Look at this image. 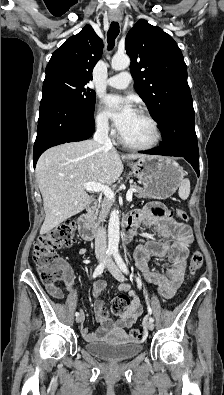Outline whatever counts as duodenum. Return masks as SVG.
<instances>
[{"mask_svg":"<svg viewBox=\"0 0 224 395\" xmlns=\"http://www.w3.org/2000/svg\"><path fill=\"white\" fill-rule=\"evenodd\" d=\"M97 204V200L93 199L86 210L78 217L76 224L80 237L84 240H92L95 237L96 229L91 220V214ZM138 212H131L123 221L124 243L129 244L135 235L138 223Z\"/></svg>","mask_w":224,"mask_h":395,"instance_id":"410a0bca","label":"duodenum"}]
</instances>
